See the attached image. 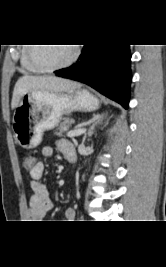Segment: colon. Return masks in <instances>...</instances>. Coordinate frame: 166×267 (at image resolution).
I'll return each mask as SVG.
<instances>
[{"label":"colon","mask_w":166,"mask_h":267,"mask_svg":"<svg viewBox=\"0 0 166 267\" xmlns=\"http://www.w3.org/2000/svg\"><path fill=\"white\" fill-rule=\"evenodd\" d=\"M36 161H35V158L31 155L29 156H26L24 158V161H23V164H24V167L27 169V170H30L34 167Z\"/></svg>","instance_id":"colon-1"}]
</instances>
